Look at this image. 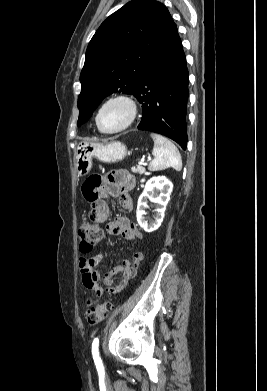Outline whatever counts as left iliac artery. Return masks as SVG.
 Listing matches in <instances>:
<instances>
[{"label": "left iliac artery", "mask_w": 267, "mask_h": 391, "mask_svg": "<svg viewBox=\"0 0 267 391\" xmlns=\"http://www.w3.org/2000/svg\"><path fill=\"white\" fill-rule=\"evenodd\" d=\"M98 345H99V339L95 338L93 340V343H92L93 359H94V362L96 364V367H97L98 371H102L103 370V365H102L101 358L99 356Z\"/></svg>", "instance_id": "obj_1"}]
</instances>
